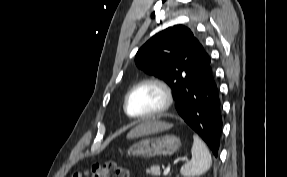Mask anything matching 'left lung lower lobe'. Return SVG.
<instances>
[{
    "mask_svg": "<svg viewBox=\"0 0 287 177\" xmlns=\"http://www.w3.org/2000/svg\"><path fill=\"white\" fill-rule=\"evenodd\" d=\"M176 109L182 119L207 143L217 157L222 118L211 59L194 82L187 87Z\"/></svg>",
    "mask_w": 287,
    "mask_h": 177,
    "instance_id": "0a47b994",
    "label": "left lung lower lobe"
}]
</instances>
